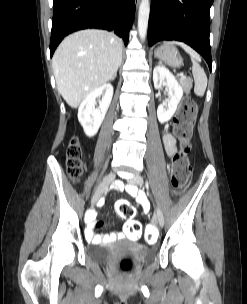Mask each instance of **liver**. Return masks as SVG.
<instances>
[{"label": "liver", "mask_w": 247, "mask_h": 304, "mask_svg": "<svg viewBox=\"0 0 247 304\" xmlns=\"http://www.w3.org/2000/svg\"><path fill=\"white\" fill-rule=\"evenodd\" d=\"M122 48L118 36L99 29L78 31L64 38L54 53L52 66L58 92L70 107L77 108L91 91L115 78Z\"/></svg>", "instance_id": "6515ba94"}]
</instances>
